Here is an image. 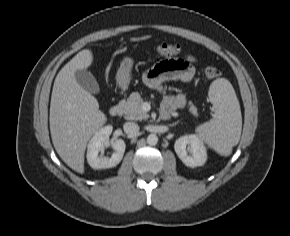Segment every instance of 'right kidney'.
<instances>
[{
	"mask_svg": "<svg viewBox=\"0 0 290 236\" xmlns=\"http://www.w3.org/2000/svg\"><path fill=\"white\" fill-rule=\"evenodd\" d=\"M112 130V126H105L98 130L89 141L87 161L93 169L114 167L118 165L123 158L126 148L125 142L122 139H117L110 143L109 136L112 133ZM110 145L115 150L110 158L98 156L99 152L102 151L104 147H108Z\"/></svg>",
	"mask_w": 290,
	"mask_h": 236,
	"instance_id": "ca27d5eb",
	"label": "right kidney"
}]
</instances>
